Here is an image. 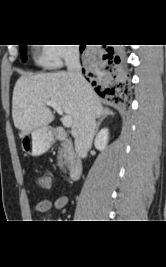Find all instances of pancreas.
I'll return each instance as SVG.
<instances>
[{"instance_id":"cf45deb5","label":"pancreas","mask_w":166,"mask_h":267,"mask_svg":"<svg viewBox=\"0 0 166 267\" xmlns=\"http://www.w3.org/2000/svg\"><path fill=\"white\" fill-rule=\"evenodd\" d=\"M73 162L74 152L71 144L68 141H64L58 150L57 165L63 172H66V168H70Z\"/></svg>"}]
</instances>
